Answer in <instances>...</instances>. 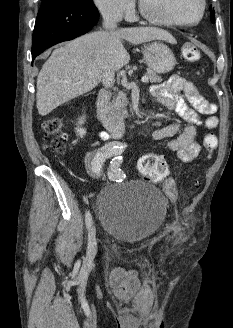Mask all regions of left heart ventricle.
<instances>
[{"label":"left heart ventricle","mask_w":233,"mask_h":328,"mask_svg":"<svg viewBox=\"0 0 233 328\" xmlns=\"http://www.w3.org/2000/svg\"><path fill=\"white\" fill-rule=\"evenodd\" d=\"M145 6L155 15L183 22L198 18L200 0H143Z\"/></svg>","instance_id":"left-heart-ventricle-1"}]
</instances>
